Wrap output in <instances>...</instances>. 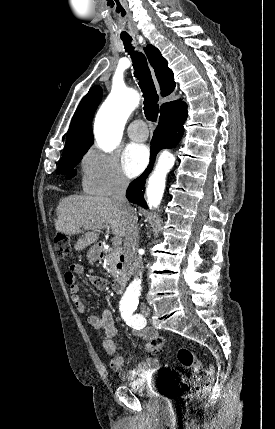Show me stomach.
<instances>
[{
  "mask_svg": "<svg viewBox=\"0 0 275 429\" xmlns=\"http://www.w3.org/2000/svg\"><path fill=\"white\" fill-rule=\"evenodd\" d=\"M87 259L89 262H95L100 259V251L97 246H94L88 250Z\"/></svg>",
  "mask_w": 275,
  "mask_h": 429,
  "instance_id": "obj_1",
  "label": "stomach"
}]
</instances>
